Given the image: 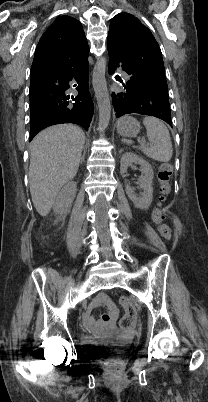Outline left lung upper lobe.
Listing matches in <instances>:
<instances>
[{
  "label": "left lung upper lobe",
  "instance_id": "left-lung-upper-lobe-1",
  "mask_svg": "<svg viewBox=\"0 0 208 402\" xmlns=\"http://www.w3.org/2000/svg\"><path fill=\"white\" fill-rule=\"evenodd\" d=\"M108 38L129 52L131 76L169 97L162 53L146 26L129 13H119L112 19Z\"/></svg>",
  "mask_w": 208,
  "mask_h": 402
}]
</instances>
